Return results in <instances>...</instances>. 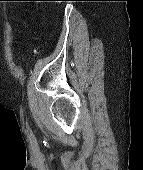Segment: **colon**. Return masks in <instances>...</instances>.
I'll return each instance as SVG.
<instances>
[{"label":"colon","mask_w":143,"mask_h":170,"mask_svg":"<svg viewBox=\"0 0 143 170\" xmlns=\"http://www.w3.org/2000/svg\"><path fill=\"white\" fill-rule=\"evenodd\" d=\"M32 1H46V0H32Z\"/></svg>","instance_id":"5ec220e1"}]
</instances>
